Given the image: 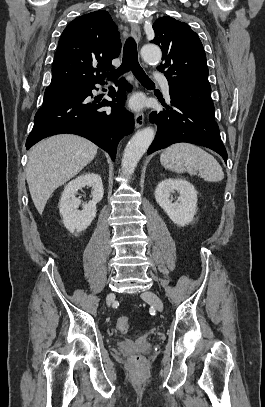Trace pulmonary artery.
<instances>
[{
  "label": "pulmonary artery",
  "mask_w": 265,
  "mask_h": 407,
  "mask_svg": "<svg viewBox=\"0 0 265 407\" xmlns=\"http://www.w3.org/2000/svg\"><path fill=\"white\" fill-rule=\"evenodd\" d=\"M155 80H156L159 84L162 85L164 92H165L166 94H168L169 85H168V81H167L166 77H165L163 74H161V73H157V74L155 75Z\"/></svg>",
  "instance_id": "e3ab8cb5"
}]
</instances>
